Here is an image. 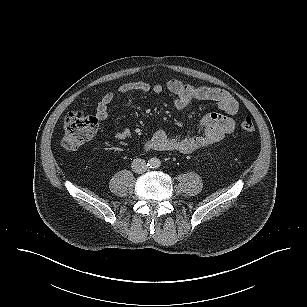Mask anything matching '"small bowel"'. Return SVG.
<instances>
[{"instance_id": "c3829d8e", "label": "small bowel", "mask_w": 307, "mask_h": 307, "mask_svg": "<svg viewBox=\"0 0 307 307\" xmlns=\"http://www.w3.org/2000/svg\"><path fill=\"white\" fill-rule=\"evenodd\" d=\"M133 92L155 95L169 92L174 95L173 105L178 110H184L196 101H210L226 113V115L220 113L205 115L197 127V134L193 136L173 138L159 130L147 140L145 144L147 150L193 153L221 141L235 129V120L231 116L238 113L239 103L231 93L219 88L195 87L176 79L164 84L145 81L124 83L117 88L116 92H107L102 96L96 108L97 118L102 121L107 119L109 106L116 94L125 95ZM130 135V130L123 128L116 133V138L126 140Z\"/></svg>"}]
</instances>
